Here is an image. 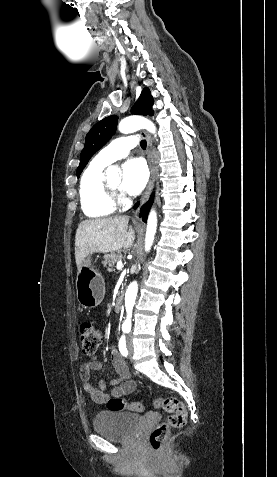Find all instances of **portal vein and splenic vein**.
Returning a JSON list of instances; mask_svg holds the SVG:
<instances>
[{
  "label": "portal vein and splenic vein",
  "mask_w": 277,
  "mask_h": 477,
  "mask_svg": "<svg viewBox=\"0 0 277 477\" xmlns=\"http://www.w3.org/2000/svg\"><path fill=\"white\" fill-rule=\"evenodd\" d=\"M122 267H123L122 261L119 260V261L117 262V269L120 270Z\"/></svg>",
  "instance_id": "18ae733b"
}]
</instances>
